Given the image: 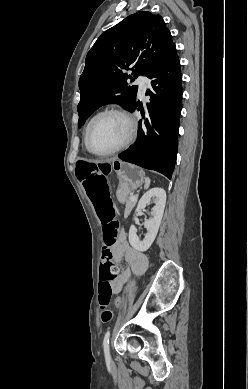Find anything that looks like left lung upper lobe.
Listing matches in <instances>:
<instances>
[{"label":"left lung upper lobe","instance_id":"left-lung-upper-lobe-1","mask_svg":"<svg viewBox=\"0 0 248 389\" xmlns=\"http://www.w3.org/2000/svg\"><path fill=\"white\" fill-rule=\"evenodd\" d=\"M160 15L134 13L105 31L88 52L79 79V123L104 104L126 110L136 102L137 86L127 80L145 75L173 45ZM132 70V76L124 72Z\"/></svg>","mask_w":248,"mask_h":389}]
</instances>
